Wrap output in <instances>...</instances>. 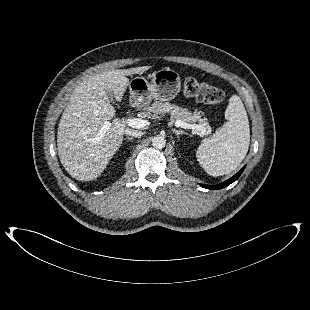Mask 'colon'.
I'll return each instance as SVG.
<instances>
[{"label": "colon", "mask_w": 310, "mask_h": 310, "mask_svg": "<svg viewBox=\"0 0 310 310\" xmlns=\"http://www.w3.org/2000/svg\"><path fill=\"white\" fill-rule=\"evenodd\" d=\"M184 92L187 96L209 104H221L225 101V94L221 89L199 82L194 78H187L185 80Z\"/></svg>", "instance_id": "1"}]
</instances>
